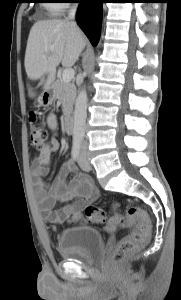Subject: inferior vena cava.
I'll use <instances>...</instances> for the list:
<instances>
[{
    "label": "inferior vena cava",
    "mask_w": 181,
    "mask_h": 300,
    "mask_svg": "<svg viewBox=\"0 0 181 300\" xmlns=\"http://www.w3.org/2000/svg\"><path fill=\"white\" fill-rule=\"evenodd\" d=\"M76 10H77V4H75L69 11V15L68 18L69 20H73L75 19V15H76Z\"/></svg>",
    "instance_id": "602c4592"
}]
</instances>
